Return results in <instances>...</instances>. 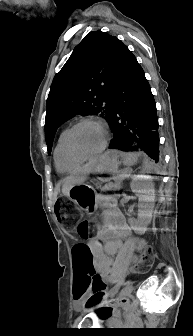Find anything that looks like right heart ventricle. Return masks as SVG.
Listing matches in <instances>:
<instances>
[{"label":"right heart ventricle","instance_id":"e07e8e85","mask_svg":"<svg viewBox=\"0 0 193 336\" xmlns=\"http://www.w3.org/2000/svg\"><path fill=\"white\" fill-rule=\"evenodd\" d=\"M67 129L60 132L54 149V161L58 172L72 173L76 171L84 160L73 159L68 156L65 150V135Z\"/></svg>","mask_w":193,"mask_h":336}]
</instances>
